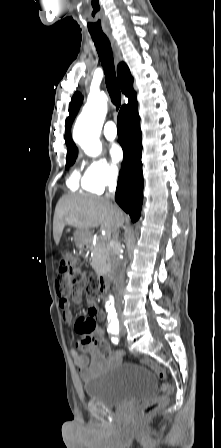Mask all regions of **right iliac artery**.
<instances>
[{"mask_svg": "<svg viewBox=\"0 0 221 448\" xmlns=\"http://www.w3.org/2000/svg\"><path fill=\"white\" fill-rule=\"evenodd\" d=\"M108 331L112 334L117 335L119 333V321L116 317L111 316V319L109 317L108 319Z\"/></svg>", "mask_w": 221, "mask_h": 448, "instance_id": "right-iliac-artery-1", "label": "right iliac artery"}]
</instances>
